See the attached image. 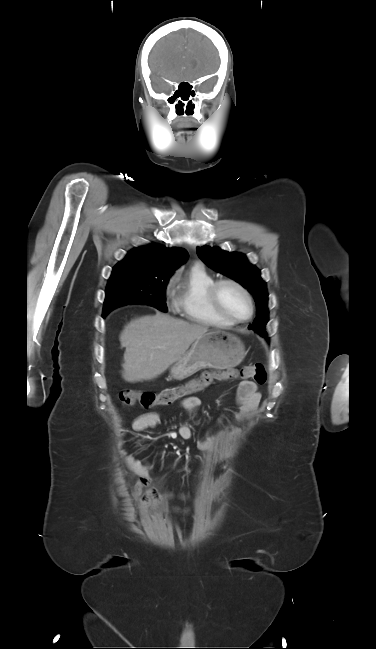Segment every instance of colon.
<instances>
[{
    "instance_id": "5ec220e1",
    "label": "colon",
    "mask_w": 376,
    "mask_h": 649,
    "mask_svg": "<svg viewBox=\"0 0 376 649\" xmlns=\"http://www.w3.org/2000/svg\"><path fill=\"white\" fill-rule=\"evenodd\" d=\"M233 378L253 380L262 385L266 382V370L263 364L255 363L223 372L207 371L185 384L168 387L158 392L124 389L120 392L119 398L126 406L138 403L145 408H151L171 404L210 385Z\"/></svg>"
}]
</instances>
